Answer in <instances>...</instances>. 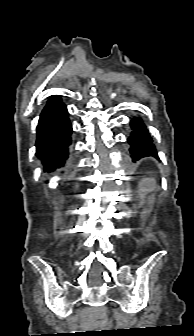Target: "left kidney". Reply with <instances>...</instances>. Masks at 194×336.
<instances>
[{
	"label": "left kidney",
	"instance_id": "left-kidney-1",
	"mask_svg": "<svg viewBox=\"0 0 194 336\" xmlns=\"http://www.w3.org/2000/svg\"><path fill=\"white\" fill-rule=\"evenodd\" d=\"M156 188V181L154 178H144L139 182L138 193L143 197L147 193L152 192Z\"/></svg>",
	"mask_w": 194,
	"mask_h": 336
}]
</instances>
